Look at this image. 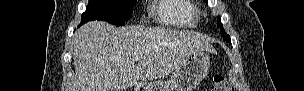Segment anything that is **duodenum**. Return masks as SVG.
<instances>
[{
    "label": "duodenum",
    "instance_id": "410a0bca",
    "mask_svg": "<svg viewBox=\"0 0 304 91\" xmlns=\"http://www.w3.org/2000/svg\"><path fill=\"white\" fill-rule=\"evenodd\" d=\"M137 91H140V90H142V87H141V85H138V88L136 89Z\"/></svg>",
    "mask_w": 304,
    "mask_h": 91
}]
</instances>
